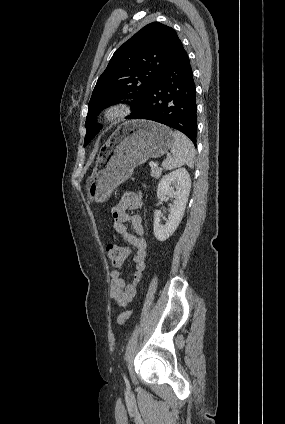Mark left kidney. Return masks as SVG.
Returning <instances> with one entry per match:
<instances>
[{
  "mask_svg": "<svg viewBox=\"0 0 285 424\" xmlns=\"http://www.w3.org/2000/svg\"><path fill=\"white\" fill-rule=\"evenodd\" d=\"M174 187H171V185ZM191 189V179L185 168H179L162 177L157 188V198L163 199L167 195L174 198L170 206V214L165 224H161V211L154 212V235L158 241L167 240L177 229L182 220L188 196Z\"/></svg>",
  "mask_w": 285,
  "mask_h": 424,
  "instance_id": "left-kidney-1",
  "label": "left kidney"
}]
</instances>
